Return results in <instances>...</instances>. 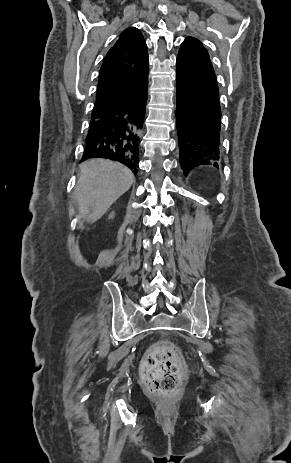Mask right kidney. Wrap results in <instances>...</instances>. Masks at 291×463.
<instances>
[{
    "label": "right kidney",
    "instance_id": "1",
    "mask_svg": "<svg viewBox=\"0 0 291 463\" xmlns=\"http://www.w3.org/2000/svg\"><path fill=\"white\" fill-rule=\"evenodd\" d=\"M114 216H115V213H114V212H111V213L109 214L108 218H109V219H113Z\"/></svg>",
    "mask_w": 291,
    "mask_h": 463
}]
</instances>
